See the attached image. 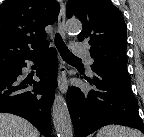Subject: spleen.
Returning a JSON list of instances; mask_svg holds the SVG:
<instances>
[{
	"label": "spleen",
	"mask_w": 144,
	"mask_h": 137,
	"mask_svg": "<svg viewBox=\"0 0 144 137\" xmlns=\"http://www.w3.org/2000/svg\"><path fill=\"white\" fill-rule=\"evenodd\" d=\"M96 137H144L139 131L119 126L107 125L101 128Z\"/></svg>",
	"instance_id": "1"
}]
</instances>
